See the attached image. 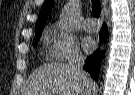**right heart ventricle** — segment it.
<instances>
[{
    "instance_id": "obj_1",
    "label": "right heart ventricle",
    "mask_w": 135,
    "mask_h": 95,
    "mask_svg": "<svg viewBox=\"0 0 135 95\" xmlns=\"http://www.w3.org/2000/svg\"><path fill=\"white\" fill-rule=\"evenodd\" d=\"M49 33H50V31L49 30H46L45 31V37H48L49 36Z\"/></svg>"
}]
</instances>
